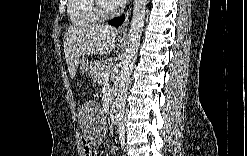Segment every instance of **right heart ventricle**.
I'll return each instance as SVG.
<instances>
[{
    "label": "right heart ventricle",
    "instance_id": "e07e8e85",
    "mask_svg": "<svg viewBox=\"0 0 247 156\" xmlns=\"http://www.w3.org/2000/svg\"><path fill=\"white\" fill-rule=\"evenodd\" d=\"M92 0H71L68 3V16L75 26L93 24L98 21L92 10Z\"/></svg>",
    "mask_w": 247,
    "mask_h": 156
}]
</instances>
